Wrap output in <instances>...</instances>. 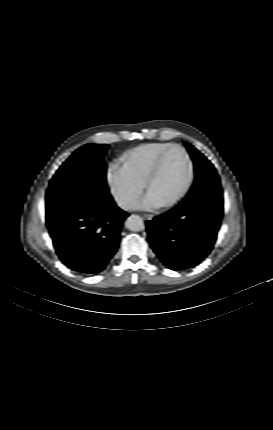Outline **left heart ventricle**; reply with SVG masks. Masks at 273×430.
I'll return each mask as SVG.
<instances>
[{"instance_id":"obj_1","label":"left heart ventricle","mask_w":273,"mask_h":430,"mask_svg":"<svg viewBox=\"0 0 273 430\" xmlns=\"http://www.w3.org/2000/svg\"><path fill=\"white\" fill-rule=\"evenodd\" d=\"M187 176L188 165L184 155L179 150H171L165 156L161 171L151 183L149 191L164 204L181 190Z\"/></svg>"}]
</instances>
